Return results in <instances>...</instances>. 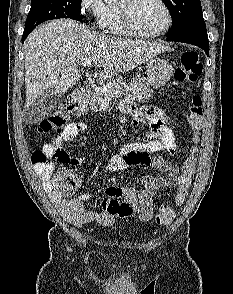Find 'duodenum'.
<instances>
[{
    "label": "duodenum",
    "mask_w": 233,
    "mask_h": 294,
    "mask_svg": "<svg viewBox=\"0 0 233 294\" xmlns=\"http://www.w3.org/2000/svg\"><path fill=\"white\" fill-rule=\"evenodd\" d=\"M86 95L85 89H78L74 91L67 99V109L69 112H75L81 105Z\"/></svg>",
    "instance_id": "410a0bca"
}]
</instances>
